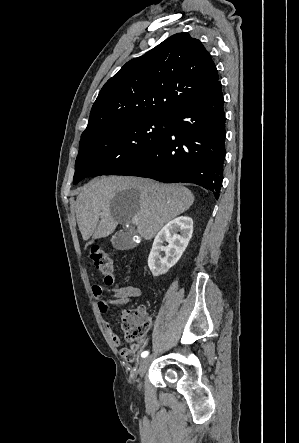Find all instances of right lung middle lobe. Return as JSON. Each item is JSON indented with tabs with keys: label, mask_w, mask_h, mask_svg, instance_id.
Listing matches in <instances>:
<instances>
[{
	"label": "right lung middle lobe",
	"mask_w": 299,
	"mask_h": 443,
	"mask_svg": "<svg viewBox=\"0 0 299 443\" xmlns=\"http://www.w3.org/2000/svg\"><path fill=\"white\" fill-rule=\"evenodd\" d=\"M169 130L167 116L137 118L81 138L73 184L89 176L112 175L148 154Z\"/></svg>",
	"instance_id": "dd1d6c3e"
}]
</instances>
